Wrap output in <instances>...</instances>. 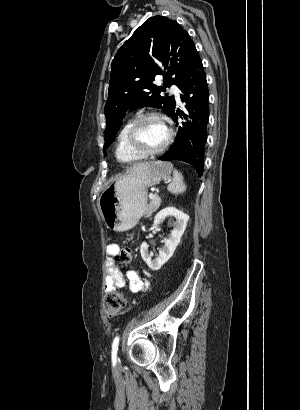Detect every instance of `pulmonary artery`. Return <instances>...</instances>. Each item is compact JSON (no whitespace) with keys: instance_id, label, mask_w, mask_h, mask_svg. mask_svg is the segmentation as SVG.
I'll return each mask as SVG.
<instances>
[{"instance_id":"1","label":"pulmonary artery","mask_w":300,"mask_h":410,"mask_svg":"<svg viewBox=\"0 0 300 410\" xmlns=\"http://www.w3.org/2000/svg\"><path fill=\"white\" fill-rule=\"evenodd\" d=\"M171 92L175 95L177 101H180V94H179V88L177 86H172L171 87Z\"/></svg>"}]
</instances>
